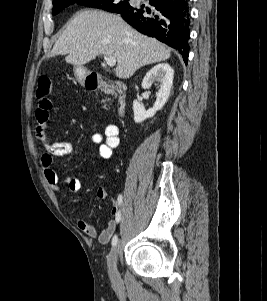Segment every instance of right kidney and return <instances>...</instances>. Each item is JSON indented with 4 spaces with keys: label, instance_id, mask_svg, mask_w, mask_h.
Returning <instances> with one entry per match:
<instances>
[{
    "label": "right kidney",
    "instance_id": "obj_1",
    "mask_svg": "<svg viewBox=\"0 0 267 301\" xmlns=\"http://www.w3.org/2000/svg\"><path fill=\"white\" fill-rule=\"evenodd\" d=\"M173 78L174 70L167 63L158 64L147 72L142 81V88L148 89L154 82H158L159 89L156 94L157 98L153 108L146 111L144 106L137 100L133 102L134 121L136 123H141L147 118L153 117L157 111L163 108L170 96Z\"/></svg>",
    "mask_w": 267,
    "mask_h": 301
}]
</instances>
